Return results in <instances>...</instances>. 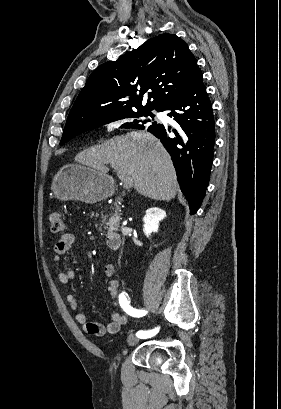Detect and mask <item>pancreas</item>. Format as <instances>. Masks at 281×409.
Wrapping results in <instances>:
<instances>
[{
    "label": "pancreas",
    "mask_w": 281,
    "mask_h": 409,
    "mask_svg": "<svg viewBox=\"0 0 281 409\" xmlns=\"http://www.w3.org/2000/svg\"><path fill=\"white\" fill-rule=\"evenodd\" d=\"M120 215H121V211H120L119 207H117V205H115L114 217H120Z\"/></svg>",
    "instance_id": "1"
}]
</instances>
